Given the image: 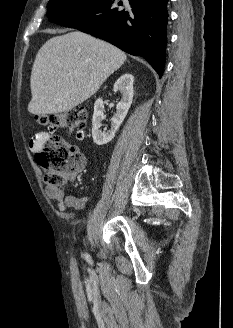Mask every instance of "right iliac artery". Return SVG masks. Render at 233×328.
I'll return each mask as SVG.
<instances>
[{
  "instance_id": "obj_1",
  "label": "right iliac artery",
  "mask_w": 233,
  "mask_h": 328,
  "mask_svg": "<svg viewBox=\"0 0 233 328\" xmlns=\"http://www.w3.org/2000/svg\"><path fill=\"white\" fill-rule=\"evenodd\" d=\"M84 256L86 260H90V256L87 253H85Z\"/></svg>"
}]
</instances>
